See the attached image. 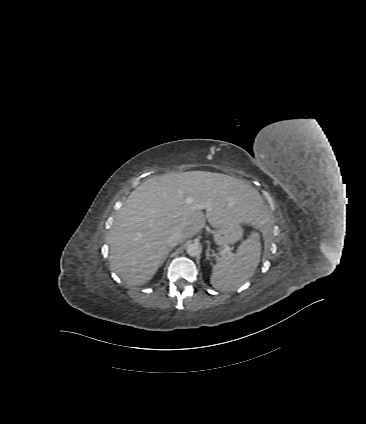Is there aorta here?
Instances as JSON below:
<instances>
[{
  "mask_svg": "<svg viewBox=\"0 0 366 424\" xmlns=\"http://www.w3.org/2000/svg\"><path fill=\"white\" fill-rule=\"evenodd\" d=\"M186 251L189 256L196 257L201 253V247L198 244L190 243L187 245Z\"/></svg>",
  "mask_w": 366,
  "mask_h": 424,
  "instance_id": "1",
  "label": "aorta"
}]
</instances>
